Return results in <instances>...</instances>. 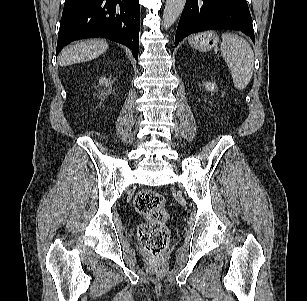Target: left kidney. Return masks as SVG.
Here are the masks:
<instances>
[{
    "mask_svg": "<svg viewBox=\"0 0 307 301\" xmlns=\"http://www.w3.org/2000/svg\"><path fill=\"white\" fill-rule=\"evenodd\" d=\"M204 86L206 90L211 92H215V90L217 89V85L214 82H205Z\"/></svg>",
    "mask_w": 307,
    "mask_h": 301,
    "instance_id": "obj_1",
    "label": "left kidney"
}]
</instances>
